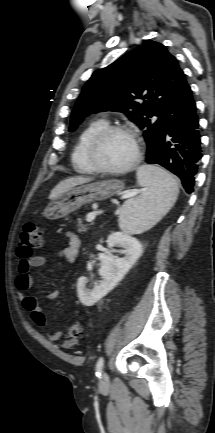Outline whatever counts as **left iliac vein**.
<instances>
[{"mask_svg":"<svg viewBox=\"0 0 215 433\" xmlns=\"http://www.w3.org/2000/svg\"><path fill=\"white\" fill-rule=\"evenodd\" d=\"M108 382V375L105 371L102 372V375L100 377V383L106 384Z\"/></svg>","mask_w":215,"mask_h":433,"instance_id":"obj_1","label":"left iliac vein"}]
</instances>
